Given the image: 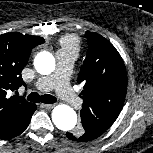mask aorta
I'll return each instance as SVG.
<instances>
[{
  "instance_id": "aorta-1",
  "label": "aorta",
  "mask_w": 153,
  "mask_h": 153,
  "mask_svg": "<svg viewBox=\"0 0 153 153\" xmlns=\"http://www.w3.org/2000/svg\"><path fill=\"white\" fill-rule=\"evenodd\" d=\"M34 66L38 73L48 75L55 69V58L49 52H40L35 57ZM52 121L58 129L70 131L77 123V115L70 106L61 104L53 109Z\"/></svg>"
}]
</instances>
